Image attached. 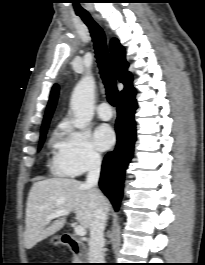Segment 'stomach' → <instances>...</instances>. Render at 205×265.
I'll use <instances>...</instances> for the list:
<instances>
[{
	"label": "stomach",
	"mask_w": 205,
	"mask_h": 265,
	"mask_svg": "<svg viewBox=\"0 0 205 265\" xmlns=\"http://www.w3.org/2000/svg\"><path fill=\"white\" fill-rule=\"evenodd\" d=\"M50 243L53 244V245H58V244L61 243V241H60V238L58 236H53L50 239Z\"/></svg>",
	"instance_id": "stomach-1"
}]
</instances>
